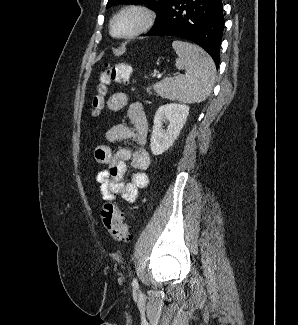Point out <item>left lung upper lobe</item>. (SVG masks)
Here are the masks:
<instances>
[{"mask_svg": "<svg viewBox=\"0 0 298 325\" xmlns=\"http://www.w3.org/2000/svg\"><path fill=\"white\" fill-rule=\"evenodd\" d=\"M146 3L150 5L152 8L157 10V15H159L164 7L170 2V0H109L106 8H110L116 4L120 3Z\"/></svg>", "mask_w": 298, "mask_h": 325, "instance_id": "left-lung-upper-lobe-1", "label": "left lung upper lobe"}]
</instances>
